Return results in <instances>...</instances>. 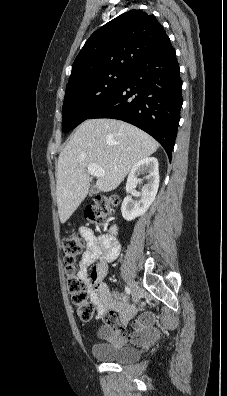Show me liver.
Returning <instances> with one entry per match:
<instances>
[{
  "mask_svg": "<svg viewBox=\"0 0 227 396\" xmlns=\"http://www.w3.org/2000/svg\"><path fill=\"white\" fill-rule=\"evenodd\" d=\"M159 143L139 128L115 119H88L80 124L61 151L57 163L56 196L60 222L64 224L88 194L87 166L105 171L96 187L116 189L132 167L152 155Z\"/></svg>",
  "mask_w": 227,
  "mask_h": 396,
  "instance_id": "6515ba94",
  "label": "liver"
}]
</instances>
